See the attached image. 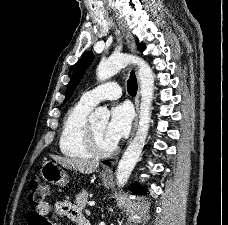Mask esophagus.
Masks as SVG:
<instances>
[{"label": "esophagus", "instance_id": "esophagus-1", "mask_svg": "<svg viewBox=\"0 0 228 225\" xmlns=\"http://www.w3.org/2000/svg\"><path fill=\"white\" fill-rule=\"evenodd\" d=\"M116 21H117L119 27L121 28V30L123 31V33L125 35L128 48L131 50V52H135L136 51V45H135V40H134L133 35L129 32V30L125 27V25L120 20L117 19ZM137 74H138V69L136 68V75ZM137 80H138V76H137ZM139 100H140V89H139V80H138V90H137V95L135 97L136 118L134 121V128H133V131L131 133L130 140L133 138V136L135 134V130H136L137 125H138ZM102 175L104 177H113V172L109 167H104L102 170Z\"/></svg>", "mask_w": 228, "mask_h": 225}]
</instances>
